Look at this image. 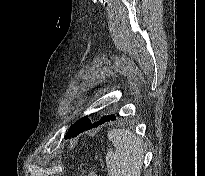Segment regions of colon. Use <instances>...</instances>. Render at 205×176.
Wrapping results in <instances>:
<instances>
[{
  "label": "colon",
  "mask_w": 205,
  "mask_h": 176,
  "mask_svg": "<svg viewBox=\"0 0 205 176\" xmlns=\"http://www.w3.org/2000/svg\"><path fill=\"white\" fill-rule=\"evenodd\" d=\"M87 176H97V174L94 171H90Z\"/></svg>",
  "instance_id": "obj_1"
}]
</instances>
